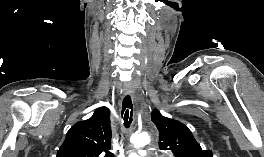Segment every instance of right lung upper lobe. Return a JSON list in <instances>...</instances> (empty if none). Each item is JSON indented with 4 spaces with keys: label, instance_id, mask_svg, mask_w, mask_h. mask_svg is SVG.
Segmentation results:
<instances>
[{
    "label": "right lung upper lobe",
    "instance_id": "1",
    "mask_svg": "<svg viewBox=\"0 0 264 157\" xmlns=\"http://www.w3.org/2000/svg\"><path fill=\"white\" fill-rule=\"evenodd\" d=\"M110 111L97 109L91 118L74 124L56 157H113L111 145Z\"/></svg>",
    "mask_w": 264,
    "mask_h": 157
}]
</instances>
